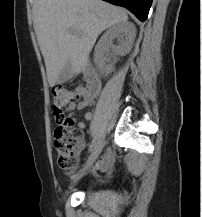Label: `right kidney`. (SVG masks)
Wrapping results in <instances>:
<instances>
[{
	"label": "right kidney",
	"mask_w": 202,
	"mask_h": 217,
	"mask_svg": "<svg viewBox=\"0 0 202 217\" xmlns=\"http://www.w3.org/2000/svg\"><path fill=\"white\" fill-rule=\"evenodd\" d=\"M135 36V26L129 22L115 24L102 35L95 47L94 59L101 73L109 74L114 70L113 66H106L105 64L103 59L105 49L111 47L114 54L125 56L130 52ZM114 39H118V45H113Z\"/></svg>",
	"instance_id": "right-kidney-1"
}]
</instances>
